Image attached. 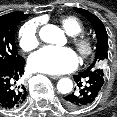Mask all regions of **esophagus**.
I'll use <instances>...</instances> for the list:
<instances>
[{
	"instance_id": "1",
	"label": "esophagus",
	"mask_w": 117,
	"mask_h": 117,
	"mask_svg": "<svg viewBox=\"0 0 117 117\" xmlns=\"http://www.w3.org/2000/svg\"><path fill=\"white\" fill-rule=\"evenodd\" d=\"M50 78H52V79H59V78H61V76L60 75H50Z\"/></svg>"
}]
</instances>
